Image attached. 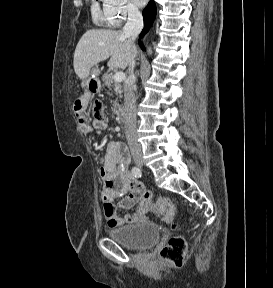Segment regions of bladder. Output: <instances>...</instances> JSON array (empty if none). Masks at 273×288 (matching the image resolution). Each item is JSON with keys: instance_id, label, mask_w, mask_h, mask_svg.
<instances>
[{"instance_id": "31cf9c89", "label": "bladder", "mask_w": 273, "mask_h": 288, "mask_svg": "<svg viewBox=\"0 0 273 288\" xmlns=\"http://www.w3.org/2000/svg\"><path fill=\"white\" fill-rule=\"evenodd\" d=\"M109 237L128 249L144 250L160 240L161 232L156 224L142 222L112 229L109 231Z\"/></svg>"}]
</instances>
